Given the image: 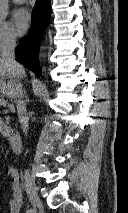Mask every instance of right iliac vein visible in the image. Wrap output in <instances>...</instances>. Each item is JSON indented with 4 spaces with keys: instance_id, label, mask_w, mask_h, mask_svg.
<instances>
[{
    "instance_id": "right-iliac-vein-1",
    "label": "right iliac vein",
    "mask_w": 128,
    "mask_h": 213,
    "mask_svg": "<svg viewBox=\"0 0 128 213\" xmlns=\"http://www.w3.org/2000/svg\"><path fill=\"white\" fill-rule=\"evenodd\" d=\"M25 188L28 196L34 206L39 207L41 205L40 198L37 194V188L34 179L31 177L28 171H25Z\"/></svg>"
}]
</instances>
